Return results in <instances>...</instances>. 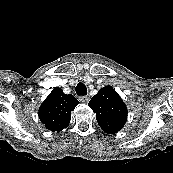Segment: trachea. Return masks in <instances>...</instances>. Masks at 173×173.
I'll return each mask as SVG.
<instances>
[{"label": "trachea", "mask_w": 173, "mask_h": 173, "mask_svg": "<svg viewBox=\"0 0 173 173\" xmlns=\"http://www.w3.org/2000/svg\"><path fill=\"white\" fill-rule=\"evenodd\" d=\"M76 93L79 96L87 95V88H86L85 84H83L81 82L78 83L77 86H76Z\"/></svg>", "instance_id": "obj_1"}]
</instances>
